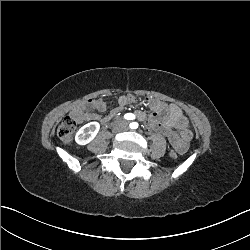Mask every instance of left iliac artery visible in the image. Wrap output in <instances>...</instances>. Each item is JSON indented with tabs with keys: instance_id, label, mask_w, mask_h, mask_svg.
Wrapping results in <instances>:
<instances>
[{
	"instance_id": "44dca946",
	"label": "left iliac artery",
	"mask_w": 250,
	"mask_h": 250,
	"mask_svg": "<svg viewBox=\"0 0 250 250\" xmlns=\"http://www.w3.org/2000/svg\"><path fill=\"white\" fill-rule=\"evenodd\" d=\"M137 127H138V123H136V122L130 123L131 129H136Z\"/></svg>"
}]
</instances>
